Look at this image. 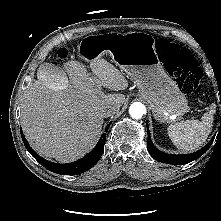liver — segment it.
Wrapping results in <instances>:
<instances>
[{"label":"liver","mask_w":221,"mask_h":221,"mask_svg":"<svg viewBox=\"0 0 221 221\" xmlns=\"http://www.w3.org/2000/svg\"><path fill=\"white\" fill-rule=\"evenodd\" d=\"M48 65L52 64L38 68L37 80L24 93L21 124L40 155L68 163L95 145L104 122L102 110L125 102V95L104 94L101 86L119 91L126 89L128 82L102 57L90 63L93 79L78 61L67 62L59 75Z\"/></svg>","instance_id":"liver-1"}]
</instances>
